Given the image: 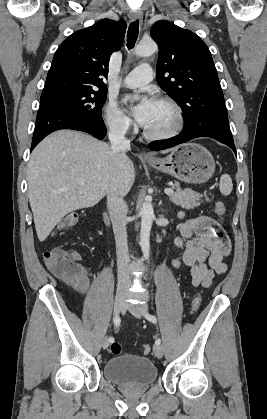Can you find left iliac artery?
Masks as SVG:
<instances>
[{
  "label": "left iliac artery",
  "mask_w": 267,
  "mask_h": 419,
  "mask_svg": "<svg viewBox=\"0 0 267 419\" xmlns=\"http://www.w3.org/2000/svg\"><path fill=\"white\" fill-rule=\"evenodd\" d=\"M143 315L150 322H152V323H156L157 322V319H156V317L154 315H151L149 313H144ZM160 343H161V340L160 339H156L155 344L160 345Z\"/></svg>",
  "instance_id": "left-iliac-artery-1"
}]
</instances>
